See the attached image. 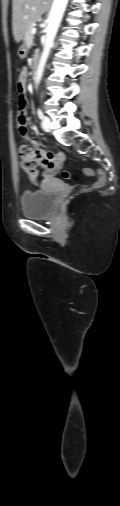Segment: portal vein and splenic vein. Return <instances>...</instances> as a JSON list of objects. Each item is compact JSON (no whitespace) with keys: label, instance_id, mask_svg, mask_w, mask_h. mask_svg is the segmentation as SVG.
I'll return each mask as SVG.
<instances>
[{"label":"portal vein and splenic vein","instance_id":"18ae733b","mask_svg":"<svg viewBox=\"0 0 120 506\" xmlns=\"http://www.w3.org/2000/svg\"><path fill=\"white\" fill-rule=\"evenodd\" d=\"M35 33H36V28H32L31 34H35Z\"/></svg>","mask_w":120,"mask_h":506}]
</instances>
